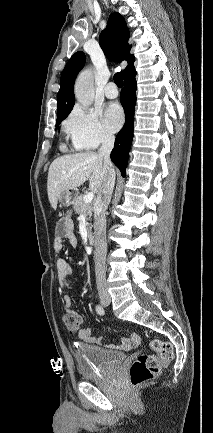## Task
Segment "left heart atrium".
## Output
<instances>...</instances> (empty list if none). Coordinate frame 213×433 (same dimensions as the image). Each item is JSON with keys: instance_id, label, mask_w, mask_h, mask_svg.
Here are the masks:
<instances>
[{"instance_id": "obj_1", "label": "left heart atrium", "mask_w": 213, "mask_h": 433, "mask_svg": "<svg viewBox=\"0 0 213 433\" xmlns=\"http://www.w3.org/2000/svg\"><path fill=\"white\" fill-rule=\"evenodd\" d=\"M104 122L112 131H117L121 128L124 122V113L119 104L110 103L107 106L104 113Z\"/></svg>"}]
</instances>
